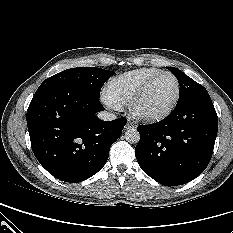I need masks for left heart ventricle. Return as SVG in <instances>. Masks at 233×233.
Masks as SVG:
<instances>
[{
  "instance_id": "obj_1",
  "label": "left heart ventricle",
  "mask_w": 233,
  "mask_h": 233,
  "mask_svg": "<svg viewBox=\"0 0 233 233\" xmlns=\"http://www.w3.org/2000/svg\"><path fill=\"white\" fill-rule=\"evenodd\" d=\"M176 83L169 75H161L148 88L137 104V109L144 113H156L164 110L174 99Z\"/></svg>"
}]
</instances>
